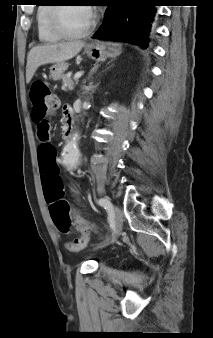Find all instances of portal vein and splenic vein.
<instances>
[{"label":"portal vein and splenic vein","mask_w":213,"mask_h":338,"mask_svg":"<svg viewBox=\"0 0 213 338\" xmlns=\"http://www.w3.org/2000/svg\"><path fill=\"white\" fill-rule=\"evenodd\" d=\"M83 75V71H79L74 75V79L77 80Z\"/></svg>","instance_id":"18ae733b"}]
</instances>
